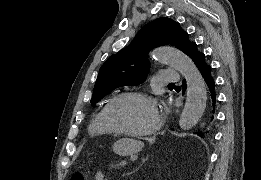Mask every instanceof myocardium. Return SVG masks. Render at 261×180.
<instances>
[{
  "label": "myocardium",
  "instance_id": "obj_1",
  "mask_svg": "<svg viewBox=\"0 0 261 180\" xmlns=\"http://www.w3.org/2000/svg\"><path fill=\"white\" fill-rule=\"evenodd\" d=\"M127 97L145 98V99L151 100L155 103L156 118H155V122H154L152 129L148 133L141 134V135L124 134V133L119 132L110 122V120L107 116L108 109L111 106H113L114 104H116L119 100H121L123 98H127ZM163 119H164V112H163L162 103H161L160 99L155 94L150 93L148 91H144V90H128V91L120 92V93L116 94L115 96H113L104 105V107L102 109L103 123H104L106 129L116 138H123V139H130V140H150L158 134V132L161 129V126L163 124Z\"/></svg>",
  "mask_w": 261,
  "mask_h": 180
}]
</instances>
